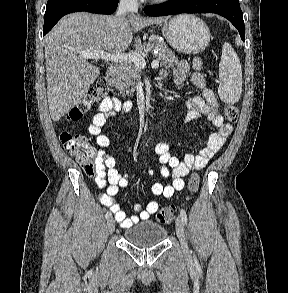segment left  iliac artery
<instances>
[{"label": "left iliac artery", "mask_w": 288, "mask_h": 293, "mask_svg": "<svg viewBox=\"0 0 288 293\" xmlns=\"http://www.w3.org/2000/svg\"><path fill=\"white\" fill-rule=\"evenodd\" d=\"M180 216H181V219H182L183 223L187 224V215H186V212L184 210H181Z\"/></svg>", "instance_id": "left-iliac-artery-1"}]
</instances>
